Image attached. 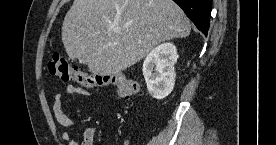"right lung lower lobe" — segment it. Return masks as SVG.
<instances>
[{
  "instance_id": "1",
  "label": "right lung lower lobe",
  "mask_w": 276,
  "mask_h": 145,
  "mask_svg": "<svg viewBox=\"0 0 276 145\" xmlns=\"http://www.w3.org/2000/svg\"><path fill=\"white\" fill-rule=\"evenodd\" d=\"M175 1L205 36L209 29L212 0H173Z\"/></svg>"
}]
</instances>
